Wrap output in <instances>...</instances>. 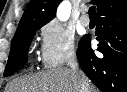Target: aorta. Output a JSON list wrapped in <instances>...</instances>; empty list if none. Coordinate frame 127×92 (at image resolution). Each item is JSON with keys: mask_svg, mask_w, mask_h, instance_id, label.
Masks as SVG:
<instances>
[{"mask_svg": "<svg viewBox=\"0 0 127 92\" xmlns=\"http://www.w3.org/2000/svg\"><path fill=\"white\" fill-rule=\"evenodd\" d=\"M71 13V4L69 1H63L57 9V18L60 21H66Z\"/></svg>", "mask_w": 127, "mask_h": 92, "instance_id": "obj_1", "label": "aorta"}]
</instances>
